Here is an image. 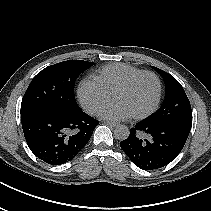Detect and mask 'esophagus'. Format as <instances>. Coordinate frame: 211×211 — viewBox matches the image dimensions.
Segmentation results:
<instances>
[{
    "instance_id": "obj_1",
    "label": "esophagus",
    "mask_w": 211,
    "mask_h": 211,
    "mask_svg": "<svg viewBox=\"0 0 211 211\" xmlns=\"http://www.w3.org/2000/svg\"><path fill=\"white\" fill-rule=\"evenodd\" d=\"M104 124H106V125H108V126H110V127H115V126H117V123H113V122H109V121L104 122Z\"/></svg>"
}]
</instances>
